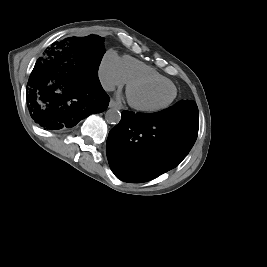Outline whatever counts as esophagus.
I'll list each match as a JSON object with an SVG mask.
<instances>
[{
  "label": "esophagus",
  "instance_id": "obj_1",
  "mask_svg": "<svg viewBox=\"0 0 267 267\" xmlns=\"http://www.w3.org/2000/svg\"><path fill=\"white\" fill-rule=\"evenodd\" d=\"M109 107H110V108H118V109H121V106L118 105L114 100H111V101L109 102Z\"/></svg>",
  "mask_w": 267,
  "mask_h": 267
}]
</instances>
